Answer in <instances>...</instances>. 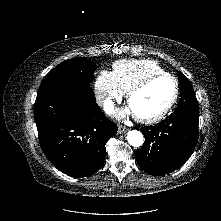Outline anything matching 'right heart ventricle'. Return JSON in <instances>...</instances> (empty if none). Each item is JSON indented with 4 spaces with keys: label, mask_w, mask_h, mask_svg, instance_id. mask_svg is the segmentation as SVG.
<instances>
[{
    "label": "right heart ventricle",
    "mask_w": 221,
    "mask_h": 221,
    "mask_svg": "<svg viewBox=\"0 0 221 221\" xmlns=\"http://www.w3.org/2000/svg\"><path fill=\"white\" fill-rule=\"evenodd\" d=\"M162 72L163 68L151 60H119L113 64L112 73L123 92H127L145 78Z\"/></svg>",
    "instance_id": "e07e8e85"
}]
</instances>
